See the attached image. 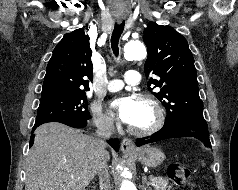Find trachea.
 I'll list each match as a JSON object with an SVG mask.
<instances>
[{"mask_svg": "<svg viewBox=\"0 0 238 190\" xmlns=\"http://www.w3.org/2000/svg\"><path fill=\"white\" fill-rule=\"evenodd\" d=\"M124 25L125 22L122 21L120 24H115L112 36H111V47L113 50V53L117 56L119 53V47H118V43H119V38L124 30Z\"/></svg>", "mask_w": 238, "mask_h": 190, "instance_id": "1", "label": "trachea"}]
</instances>
